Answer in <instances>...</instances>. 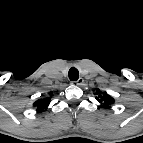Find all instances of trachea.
Segmentation results:
<instances>
[{
    "mask_svg": "<svg viewBox=\"0 0 143 143\" xmlns=\"http://www.w3.org/2000/svg\"><path fill=\"white\" fill-rule=\"evenodd\" d=\"M68 75L71 81H76L79 78V72L75 67L70 68Z\"/></svg>",
    "mask_w": 143,
    "mask_h": 143,
    "instance_id": "trachea-1",
    "label": "trachea"
}]
</instances>
